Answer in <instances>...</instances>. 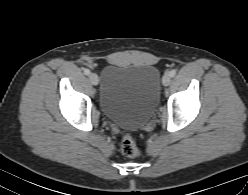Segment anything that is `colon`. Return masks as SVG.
<instances>
[{
    "mask_svg": "<svg viewBox=\"0 0 248 195\" xmlns=\"http://www.w3.org/2000/svg\"><path fill=\"white\" fill-rule=\"evenodd\" d=\"M121 152L127 157H135L139 154V149L133 136L125 135L121 142Z\"/></svg>",
    "mask_w": 248,
    "mask_h": 195,
    "instance_id": "5ec220e1",
    "label": "colon"
}]
</instances>
